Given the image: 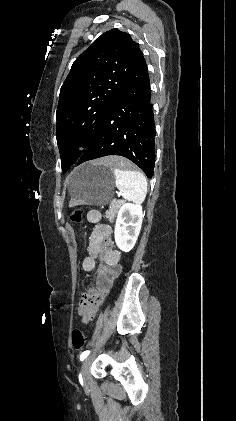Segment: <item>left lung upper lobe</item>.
Instances as JSON below:
<instances>
[{"instance_id": "1", "label": "left lung upper lobe", "mask_w": 236, "mask_h": 421, "mask_svg": "<svg viewBox=\"0 0 236 421\" xmlns=\"http://www.w3.org/2000/svg\"><path fill=\"white\" fill-rule=\"evenodd\" d=\"M140 49L128 33H103L73 63L56 112V138L62 163L73 165L88 147L121 92Z\"/></svg>"}]
</instances>
